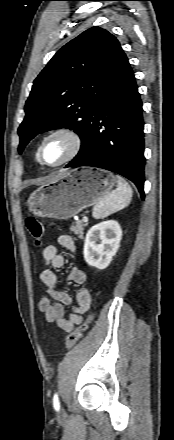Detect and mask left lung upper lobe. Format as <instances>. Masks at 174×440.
I'll return each mask as SVG.
<instances>
[{"instance_id":"1","label":"left lung upper lobe","mask_w":174,"mask_h":440,"mask_svg":"<svg viewBox=\"0 0 174 440\" xmlns=\"http://www.w3.org/2000/svg\"><path fill=\"white\" fill-rule=\"evenodd\" d=\"M123 53L118 40L97 26L63 46L33 83L18 129L19 152L37 134L62 127L75 129L83 145L92 104Z\"/></svg>"}]
</instances>
